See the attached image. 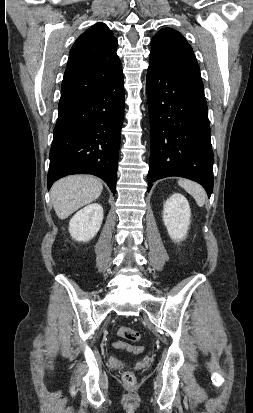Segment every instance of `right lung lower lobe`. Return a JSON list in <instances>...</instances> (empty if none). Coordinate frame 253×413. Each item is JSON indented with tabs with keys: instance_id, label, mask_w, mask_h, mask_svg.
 Masks as SVG:
<instances>
[{
	"instance_id": "obj_1",
	"label": "right lung lower lobe",
	"mask_w": 253,
	"mask_h": 413,
	"mask_svg": "<svg viewBox=\"0 0 253 413\" xmlns=\"http://www.w3.org/2000/svg\"><path fill=\"white\" fill-rule=\"evenodd\" d=\"M123 115L122 72L98 91L59 106L50 150L48 189L61 177L92 174L106 181L115 193Z\"/></svg>"
}]
</instances>
